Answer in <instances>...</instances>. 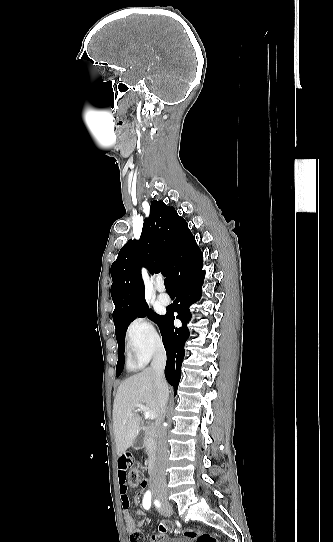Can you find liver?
I'll return each mask as SVG.
<instances>
[{"label": "liver", "mask_w": 333, "mask_h": 542, "mask_svg": "<svg viewBox=\"0 0 333 542\" xmlns=\"http://www.w3.org/2000/svg\"><path fill=\"white\" fill-rule=\"evenodd\" d=\"M135 404H143L156 412L159 420L158 396L155 386V374L152 368H145L140 374L124 380L120 384L113 404V432L116 442L117 456L133 446L140 426Z\"/></svg>", "instance_id": "obj_1"}]
</instances>
